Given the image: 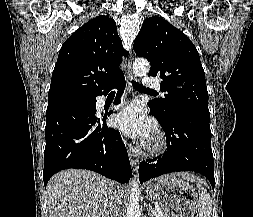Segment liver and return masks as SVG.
Returning a JSON list of instances; mask_svg holds the SVG:
<instances>
[{"label":"liver","mask_w":253,"mask_h":217,"mask_svg":"<svg viewBox=\"0 0 253 217\" xmlns=\"http://www.w3.org/2000/svg\"><path fill=\"white\" fill-rule=\"evenodd\" d=\"M176 175L199 181L189 173ZM113 185L116 184L89 170L61 171L50 179L47 186L49 217H110ZM121 187L124 194V187Z\"/></svg>","instance_id":"obj_1"}]
</instances>
